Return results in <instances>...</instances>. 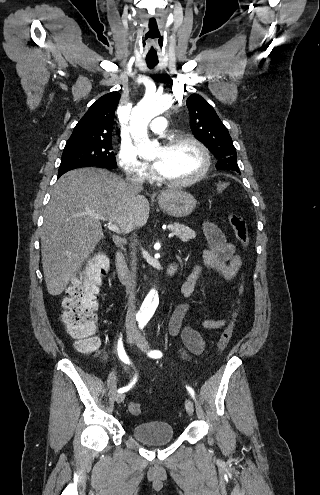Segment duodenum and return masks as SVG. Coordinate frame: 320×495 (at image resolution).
I'll list each match as a JSON object with an SVG mask.
<instances>
[{
    "mask_svg": "<svg viewBox=\"0 0 320 495\" xmlns=\"http://www.w3.org/2000/svg\"><path fill=\"white\" fill-rule=\"evenodd\" d=\"M178 266H179V263L176 261L170 263L166 269V277L172 278L176 274V272L178 270ZM116 269H117V273H118L120 281L123 284L128 285L130 283V274H129V269H128V266H127V263H126V260H125V257H124V254L122 253V251H118L116 253Z\"/></svg>",
    "mask_w": 320,
    "mask_h": 495,
    "instance_id": "1",
    "label": "duodenum"
}]
</instances>
